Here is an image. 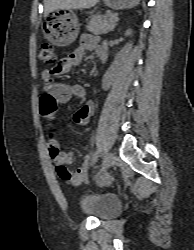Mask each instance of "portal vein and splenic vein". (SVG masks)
<instances>
[{"label": "portal vein and splenic vein", "instance_id": "obj_1", "mask_svg": "<svg viewBox=\"0 0 194 250\" xmlns=\"http://www.w3.org/2000/svg\"><path fill=\"white\" fill-rule=\"evenodd\" d=\"M119 18L117 16L114 17L113 21L117 22Z\"/></svg>", "mask_w": 194, "mask_h": 250}]
</instances>
